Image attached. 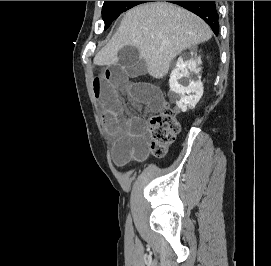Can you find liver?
I'll list each match as a JSON object with an SVG mask.
<instances>
[{
    "mask_svg": "<svg viewBox=\"0 0 271 266\" xmlns=\"http://www.w3.org/2000/svg\"><path fill=\"white\" fill-rule=\"evenodd\" d=\"M211 37L210 27L183 8L161 2L142 4L126 12L118 31L95 56L94 64L114 65L119 50L131 45L148 62L149 75L161 79L178 54Z\"/></svg>",
    "mask_w": 271,
    "mask_h": 266,
    "instance_id": "6515ba94",
    "label": "liver"
}]
</instances>
